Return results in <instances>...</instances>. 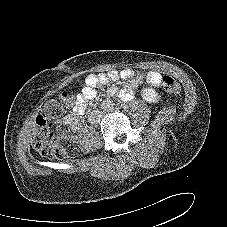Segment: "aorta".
I'll return each mask as SVG.
<instances>
[{"mask_svg":"<svg viewBox=\"0 0 227 227\" xmlns=\"http://www.w3.org/2000/svg\"><path fill=\"white\" fill-rule=\"evenodd\" d=\"M113 102L111 100H104L101 104V107L104 111H111L113 109Z\"/></svg>","mask_w":227,"mask_h":227,"instance_id":"762f6f07","label":"aorta"}]
</instances>
